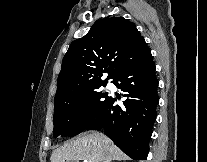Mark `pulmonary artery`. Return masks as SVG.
I'll return each instance as SVG.
<instances>
[{
	"label": "pulmonary artery",
	"instance_id": "obj_1",
	"mask_svg": "<svg viewBox=\"0 0 207 162\" xmlns=\"http://www.w3.org/2000/svg\"><path fill=\"white\" fill-rule=\"evenodd\" d=\"M107 87H108V88H112L113 85H112L111 83H108V84H107Z\"/></svg>",
	"mask_w": 207,
	"mask_h": 162
}]
</instances>
